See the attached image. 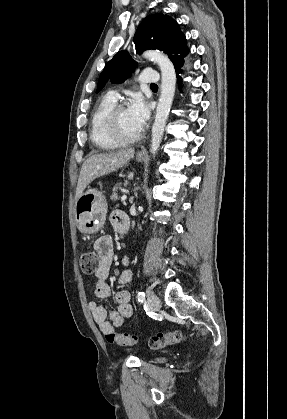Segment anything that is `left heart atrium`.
Here are the masks:
<instances>
[{
    "mask_svg": "<svg viewBox=\"0 0 287 419\" xmlns=\"http://www.w3.org/2000/svg\"><path fill=\"white\" fill-rule=\"evenodd\" d=\"M127 112L134 125L142 130L149 118V106L145 99L139 94L135 95L127 108Z\"/></svg>",
    "mask_w": 287,
    "mask_h": 419,
    "instance_id": "1",
    "label": "left heart atrium"
}]
</instances>
